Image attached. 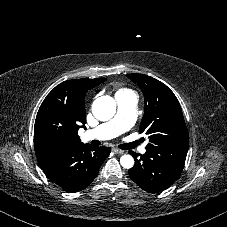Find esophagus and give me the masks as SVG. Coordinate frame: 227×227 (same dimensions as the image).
<instances>
[{
    "label": "esophagus",
    "mask_w": 227,
    "mask_h": 227,
    "mask_svg": "<svg viewBox=\"0 0 227 227\" xmlns=\"http://www.w3.org/2000/svg\"><path fill=\"white\" fill-rule=\"evenodd\" d=\"M112 151H113L115 154H124V150H121V149H118V148H113Z\"/></svg>",
    "instance_id": "esophagus-1"
}]
</instances>
